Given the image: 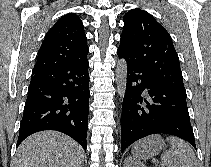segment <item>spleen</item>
<instances>
[{
    "instance_id": "1",
    "label": "spleen",
    "mask_w": 211,
    "mask_h": 167,
    "mask_svg": "<svg viewBox=\"0 0 211 167\" xmlns=\"http://www.w3.org/2000/svg\"><path fill=\"white\" fill-rule=\"evenodd\" d=\"M171 150L161 155L162 167H198L195 153L185 141L170 137Z\"/></svg>"
}]
</instances>
